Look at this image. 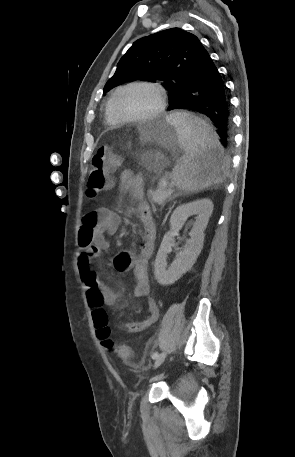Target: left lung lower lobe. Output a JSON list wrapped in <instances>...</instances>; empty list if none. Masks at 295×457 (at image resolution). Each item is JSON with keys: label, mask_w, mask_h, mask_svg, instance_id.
I'll use <instances>...</instances> for the list:
<instances>
[{"label": "left lung lower lobe", "mask_w": 295, "mask_h": 457, "mask_svg": "<svg viewBox=\"0 0 295 457\" xmlns=\"http://www.w3.org/2000/svg\"><path fill=\"white\" fill-rule=\"evenodd\" d=\"M190 109L214 123L224 148L231 142V118L226 88L217 67L202 46L187 70V80L169 110Z\"/></svg>", "instance_id": "1"}]
</instances>
